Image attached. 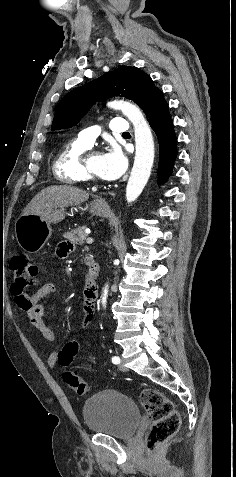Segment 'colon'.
I'll list each match as a JSON object with an SVG mask.
<instances>
[{"label": "colon", "instance_id": "obj_1", "mask_svg": "<svg viewBox=\"0 0 236 477\" xmlns=\"http://www.w3.org/2000/svg\"><path fill=\"white\" fill-rule=\"evenodd\" d=\"M10 266L13 275L12 293L18 304L21 297L28 295L36 285L39 266L36 263H31L25 255L14 256ZM79 351L80 346L78 343L69 342L65 344L58 354L59 364L62 367H68ZM63 380L78 395L82 396L89 392L87 383L75 371L65 370L63 372ZM140 400L149 420L152 422L148 438V449L150 452H154L160 445L176 434L180 427L181 419L172 401L156 389L147 388L143 390Z\"/></svg>", "mask_w": 236, "mask_h": 477}]
</instances>
